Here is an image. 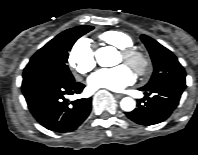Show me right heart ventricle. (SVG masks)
Returning <instances> with one entry per match:
<instances>
[{
  "instance_id": "e07e8e85",
  "label": "right heart ventricle",
  "mask_w": 198,
  "mask_h": 155,
  "mask_svg": "<svg viewBox=\"0 0 198 155\" xmlns=\"http://www.w3.org/2000/svg\"><path fill=\"white\" fill-rule=\"evenodd\" d=\"M100 40L118 49H125L133 45V40L126 33L118 30H108L99 35Z\"/></svg>"
}]
</instances>
